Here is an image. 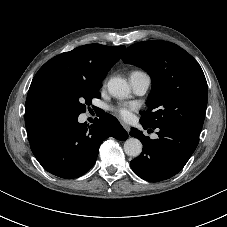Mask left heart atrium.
Segmentation results:
<instances>
[{
    "label": "left heart atrium",
    "mask_w": 227,
    "mask_h": 227,
    "mask_svg": "<svg viewBox=\"0 0 227 227\" xmlns=\"http://www.w3.org/2000/svg\"><path fill=\"white\" fill-rule=\"evenodd\" d=\"M113 112L124 120L132 118L133 112L136 110L135 105H118L112 108Z\"/></svg>",
    "instance_id": "1"
}]
</instances>
